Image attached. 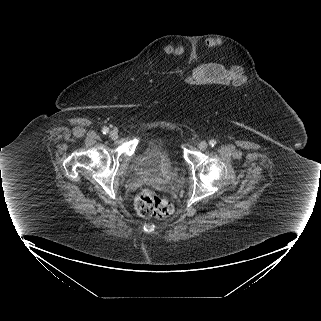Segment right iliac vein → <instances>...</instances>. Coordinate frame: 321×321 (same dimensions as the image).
<instances>
[{
    "instance_id": "right-iliac-vein-1",
    "label": "right iliac vein",
    "mask_w": 321,
    "mask_h": 321,
    "mask_svg": "<svg viewBox=\"0 0 321 321\" xmlns=\"http://www.w3.org/2000/svg\"><path fill=\"white\" fill-rule=\"evenodd\" d=\"M109 136L111 139H117L118 138V133L116 131H110Z\"/></svg>"
}]
</instances>
